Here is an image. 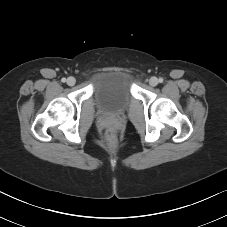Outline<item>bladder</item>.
Masks as SVG:
<instances>
[{
    "mask_svg": "<svg viewBox=\"0 0 227 227\" xmlns=\"http://www.w3.org/2000/svg\"><path fill=\"white\" fill-rule=\"evenodd\" d=\"M91 87L94 102L104 113H121L133 100L132 76L126 71L98 72L92 78Z\"/></svg>",
    "mask_w": 227,
    "mask_h": 227,
    "instance_id": "bladder-1",
    "label": "bladder"
}]
</instances>
